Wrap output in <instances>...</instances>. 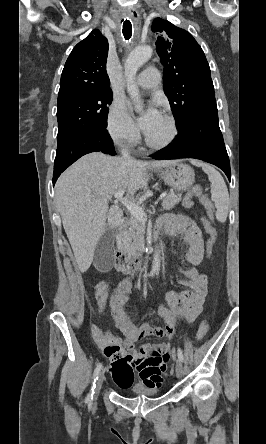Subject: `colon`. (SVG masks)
<instances>
[{
    "label": "colon",
    "instance_id": "1",
    "mask_svg": "<svg viewBox=\"0 0 266 444\" xmlns=\"http://www.w3.org/2000/svg\"><path fill=\"white\" fill-rule=\"evenodd\" d=\"M194 197H199L201 199L202 204H203L204 208L206 209L207 214L210 218V219H208V218L203 219L204 227H205L207 235H208L205 251H206V255H209L211 253L213 243H214L216 236H217L216 228L211 221L213 207H212V204L209 201V199L206 197L201 186H194L188 191V193L184 197L185 205L191 206L193 203ZM127 287H128V284L126 282H122L119 284V286L117 287V289L115 290V292L111 296L110 306H113L118 302L120 296L127 289ZM208 330H209V322L207 320H204L200 324V326L195 334V340L196 341L201 340L207 334Z\"/></svg>",
    "mask_w": 266,
    "mask_h": 444
}]
</instances>
